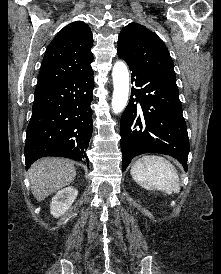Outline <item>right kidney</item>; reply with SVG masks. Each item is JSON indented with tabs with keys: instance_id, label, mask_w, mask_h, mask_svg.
Instances as JSON below:
<instances>
[{
	"instance_id": "ca27d5eb",
	"label": "right kidney",
	"mask_w": 221,
	"mask_h": 274,
	"mask_svg": "<svg viewBox=\"0 0 221 274\" xmlns=\"http://www.w3.org/2000/svg\"><path fill=\"white\" fill-rule=\"evenodd\" d=\"M78 194L74 187H66L56 193L50 205L51 214L54 217L63 215L73 204Z\"/></svg>"
}]
</instances>
